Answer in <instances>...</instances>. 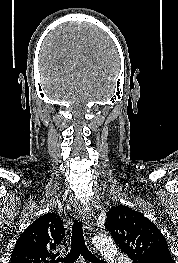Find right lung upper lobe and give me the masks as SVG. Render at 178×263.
Here are the masks:
<instances>
[{
  "mask_svg": "<svg viewBox=\"0 0 178 263\" xmlns=\"http://www.w3.org/2000/svg\"><path fill=\"white\" fill-rule=\"evenodd\" d=\"M65 229L60 216L46 213L35 220L18 238L10 263H54L59 255Z\"/></svg>",
  "mask_w": 178,
  "mask_h": 263,
  "instance_id": "1",
  "label": "right lung upper lobe"
}]
</instances>
